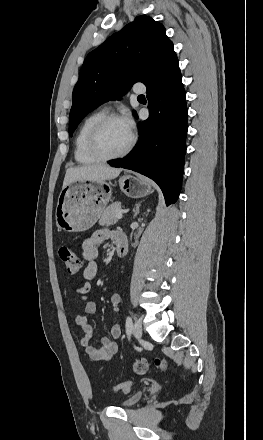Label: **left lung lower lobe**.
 Masks as SVG:
<instances>
[{"instance_id":"obj_1","label":"left lung lower lobe","mask_w":263,"mask_h":440,"mask_svg":"<svg viewBox=\"0 0 263 440\" xmlns=\"http://www.w3.org/2000/svg\"><path fill=\"white\" fill-rule=\"evenodd\" d=\"M145 85L149 118L140 123L139 142L126 157L108 163L153 179L168 206L179 197L186 152L188 110L178 59Z\"/></svg>"}]
</instances>
